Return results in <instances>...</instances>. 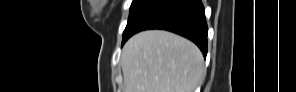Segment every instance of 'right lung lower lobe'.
Segmentation results:
<instances>
[{
    "label": "right lung lower lobe",
    "mask_w": 296,
    "mask_h": 92,
    "mask_svg": "<svg viewBox=\"0 0 296 92\" xmlns=\"http://www.w3.org/2000/svg\"><path fill=\"white\" fill-rule=\"evenodd\" d=\"M146 29H164L193 41L207 54L208 27L201 0H154L135 21L122 45L133 34Z\"/></svg>",
    "instance_id": "obj_1"
}]
</instances>
